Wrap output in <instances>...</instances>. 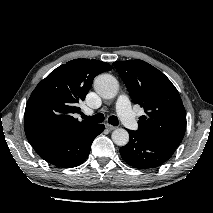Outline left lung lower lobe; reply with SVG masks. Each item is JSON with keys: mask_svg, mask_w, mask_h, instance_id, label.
I'll use <instances>...</instances> for the list:
<instances>
[{"mask_svg": "<svg viewBox=\"0 0 213 213\" xmlns=\"http://www.w3.org/2000/svg\"><path fill=\"white\" fill-rule=\"evenodd\" d=\"M129 143L120 148L121 157L138 169L156 168L166 162L176 148L150 141L138 131L128 130Z\"/></svg>", "mask_w": 213, "mask_h": 213, "instance_id": "obj_1", "label": "left lung lower lobe"}]
</instances>
